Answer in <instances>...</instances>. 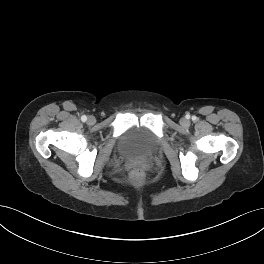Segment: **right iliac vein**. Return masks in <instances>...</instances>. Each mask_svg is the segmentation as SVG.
Returning a JSON list of instances; mask_svg holds the SVG:
<instances>
[{"mask_svg":"<svg viewBox=\"0 0 264 264\" xmlns=\"http://www.w3.org/2000/svg\"><path fill=\"white\" fill-rule=\"evenodd\" d=\"M95 117L94 116H89V118H88V123L89 124H94L95 123Z\"/></svg>","mask_w":264,"mask_h":264,"instance_id":"1","label":"right iliac vein"}]
</instances>
